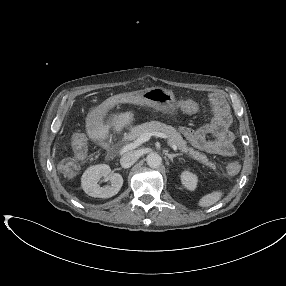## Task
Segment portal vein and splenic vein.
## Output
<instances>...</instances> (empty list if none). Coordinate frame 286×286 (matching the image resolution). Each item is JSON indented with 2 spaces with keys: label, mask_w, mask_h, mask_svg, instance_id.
I'll list each match as a JSON object with an SVG mask.
<instances>
[{
  "label": "portal vein and splenic vein",
  "mask_w": 286,
  "mask_h": 286,
  "mask_svg": "<svg viewBox=\"0 0 286 286\" xmlns=\"http://www.w3.org/2000/svg\"><path fill=\"white\" fill-rule=\"evenodd\" d=\"M151 136H156V137H161V138H168L167 135H165L164 133L161 132H144L138 139H136L134 142L127 144L126 146L123 147L122 149V153L128 151V150H132L138 146H140L141 144H143L144 142L148 141L150 139ZM169 146L173 149V150H177V146L175 144L172 143V141L169 139L168 141Z\"/></svg>",
  "instance_id": "obj_1"
}]
</instances>
